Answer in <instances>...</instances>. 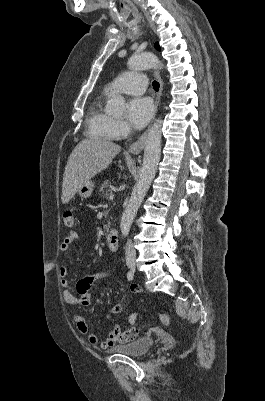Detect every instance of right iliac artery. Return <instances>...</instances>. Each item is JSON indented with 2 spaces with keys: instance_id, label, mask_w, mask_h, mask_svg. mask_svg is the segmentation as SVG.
<instances>
[{
  "instance_id": "right-iliac-artery-1",
  "label": "right iliac artery",
  "mask_w": 265,
  "mask_h": 401,
  "mask_svg": "<svg viewBox=\"0 0 265 401\" xmlns=\"http://www.w3.org/2000/svg\"><path fill=\"white\" fill-rule=\"evenodd\" d=\"M133 277H134V273H133L132 271H129V272L127 273V279H128L129 281H132V280H133Z\"/></svg>"
}]
</instances>
